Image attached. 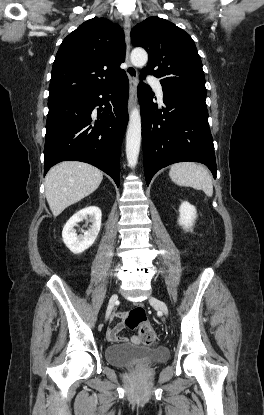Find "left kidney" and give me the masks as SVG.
<instances>
[{
  "mask_svg": "<svg viewBox=\"0 0 264 415\" xmlns=\"http://www.w3.org/2000/svg\"><path fill=\"white\" fill-rule=\"evenodd\" d=\"M179 213V224L185 229L191 228L197 217L196 208L189 202L184 201L179 208Z\"/></svg>",
  "mask_w": 264,
  "mask_h": 415,
  "instance_id": "obj_1",
  "label": "left kidney"
}]
</instances>
